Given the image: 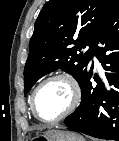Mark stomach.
Listing matches in <instances>:
<instances>
[{
    "instance_id": "obj_1",
    "label": "stomach",
    "mask_w": 119,
    "mask_h": 141,
    "mask_svg": "<svg viewBox=\"0 0 119 141\" xmlns=\"http://www.w3.org/2000/svg\"><path fill=\"white\" fill-rule=\"evenodd\" d=\"M46 141H85V139L70 131L51 130L41 135Z\"/></svg>"
}]
</instances>
